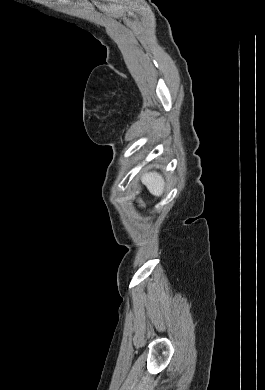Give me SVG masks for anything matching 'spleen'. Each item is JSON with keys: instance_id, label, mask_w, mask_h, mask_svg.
I'll list each match as a JSON object with an SVG mask.
<instances>
[{"instance_id": "3e777b00", "label": "spleen", "mask_w": 265, "mask_h": 390, "mask_svg": "<svg viewBox=\"0 0 265 390\" xmlns=\"http://www.w3.org/2000/svg\"><path fill=\"white\" fill-rule=\"evenodd\" d=\"M142 183L147 187L149 192L154 196H161L164 191V180L156 172L144 174L141 178Z\"/></svg>"}]
</instances>
